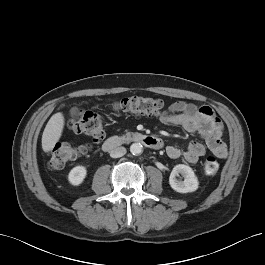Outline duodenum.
Wrapping results in <instances>:
<instances>
[{"instance_id": "1", "label": "duodenum", "mask_w": 265, "mask_h": 265, "mask_svg": "<svg viewBox=\"0 0 265 265\" xmlns=\"http://www.w3.org/2000/svg\"><path fill=\"white\" fill-rule=\"evenodd\" d=\"M128 143H139L150 149H160L163 142L160 138L144 134H135L129 137L111 136L103 143L105 151H111L121 145Z\"/></svg>"}]
</instances>
